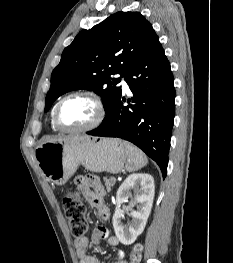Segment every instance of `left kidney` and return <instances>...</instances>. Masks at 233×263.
I'll use <instances>...</instances> for the list:
<instances>
[{
  "label": "left kidney",
  "mask_w": 233,
  "mask_h": 263,
  "mask_svg": "<svg viewBox=\"0 0 233 263\" xmlns=\"http://www.w3.org/2000/svg\"><path fill=\"white\" fill-rule=\"evenodd\" d=\"M134 191L137 195L133 204H138L137 210H132L131 222L124 225L125 210L121 205L128 200L129 194ZM155 193L154 179L149 174H131L121 184L116 195V208L112 223L118 240L124 245H131L143 232L150 215Z\"/></svg>",
  "instance_id": "5707ae66"
}]
</instances>
